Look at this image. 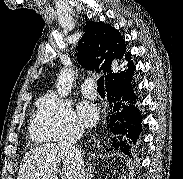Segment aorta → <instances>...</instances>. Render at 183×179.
Listing matches in <instances>:
<instances>
[{
    "mask_svg": "<svg viewBox=\"0 0 183 179\" xmlns=\"http://www.w3.org/2000/svg\"><path fill=\"white\" fill-rule=\"evenodd\" d=\"M74 70L63 68L57 78L56 89L60 97H66L72 90L74 83Z\"/></svg>",
    "mask_w": 183,
    "mask_h": 179,
    "instance_id": "aorta-1",
    "label": "aorta"
}]
</instances>
